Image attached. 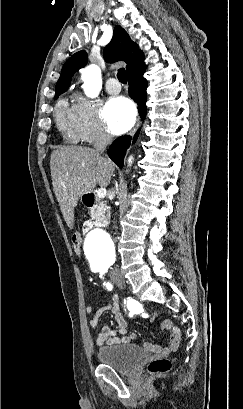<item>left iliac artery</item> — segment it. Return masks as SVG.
Instances as JSON below:
<instances>
[{"label":"left iliac artery","mask_w":243,"mask_h":409,"mask_svg":"<svg viewBox=\"0 0 243 409\" xmlns=\"http://www.w3.org/2000/svg\"><path fill=\"white\" fill-rule=\"evenodd\" d=\"M105 272H106V269L101 270V271H100L101 276H102V275H103ZM104 285L107 287V289H109V290H111V289H112V285H111L110 283H106V282H104Z\"/></svg>","instance_id":"1"}]
</instances>
